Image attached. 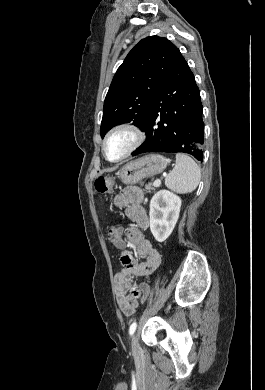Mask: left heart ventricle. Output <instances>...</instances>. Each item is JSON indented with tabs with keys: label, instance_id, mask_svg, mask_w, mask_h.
Listing matches in <instances>:
<instances>
[{
	"label": "left heart ventricle",
	"instance_id": "left-heart-ventricle-1",
	"mask_svg": "<svg viewBox=\"0 0 265 390\" xmlns=\"http://www.w3.org/2000/svg\"><path fill=\"white\" fill-rule=\"evenodd\" d=\"M131 142V136L127 132L114 134L107 143V156L114 160L119 158Z\"/></svg>",
	"mask_w": 265,
	"mask_h": 390
}]
</instances>
